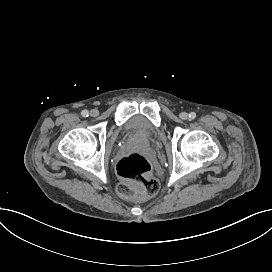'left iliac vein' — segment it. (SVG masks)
I'll list each match as a JSON object with an SVG mask.
<instances>
[{
    "mask_svg": "<svg viewBox=\"0 0 272 272\" xmlns=\"http://www.w3.org/2000/svg\"><path fill=\"white\" fill-rule=\"evenodd\" d=\"M180 118H181L182 120H187V119H188V114H187L186 112H181V113H180Z\"/></svg>",
    "mask_w": 272,
    "mask_h": 272,
    "instance_id": "left-iliac-vein-1",
    "label": "left iliac vein"
}]
</instances>
